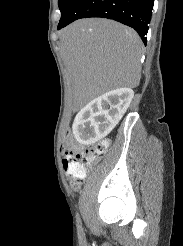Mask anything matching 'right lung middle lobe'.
<instances>
[{"label": "right lung middle lobe", "mask_w": 183, "mask_h": 246, "mask_svg": "<svg viewBox=\"0 0 183 246\" xmlns=\"http://www.w3.org/2000/svg\"><path fill=\"white\" fill-rule=\"evenodd\" d=\"M80 0H58L59 9L61 11L60 23L66 21L71 15L74 7ZM59 23V24H60Z\"/></svg>", "instance_id": "dd1d6c3e"}]
</instances>
